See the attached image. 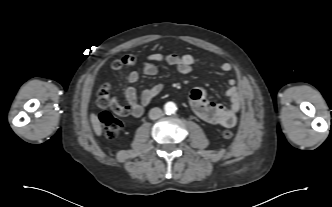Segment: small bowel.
I'll list each match as a JSON object with an SVG mask.
<instances>
[{
    "mask_svg": "<svg viewBox=\"0 0 332 207\" xmlns=\"http://www.w3.org/2000/svg\"><path fill=\"white\" fill-rule=\"evenodd\" d=\"M200 62V58L192 53L184 55L161 53H152L148 55L142 63V73L146 76L153 77L158 74V68L155 63H165L174 66L181 74H189L195 64ZM221 71L229 73L233 71V66L229 62L219 64ZM138 71H131L127 76L129 85L125 88L124 94L128 102V112L121 116L140 117L147 106L162 91L160 84H155L143 90L138 98L137 92L133 86L139 80ZM230 88L227 96L230 99L229 106H222L210 100L206 91L197 87L190 92V105L194 112L205 122L223 127H234L237 123V115L243 102V94L237 87L236 78L228 81Z\"/></svg>",
    "mask_w": 332,
    "mask_h": 207,
    "instance_id": "c3829d8e",
    "label": "small bowel"
}]
</instances>
